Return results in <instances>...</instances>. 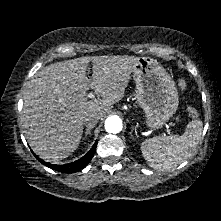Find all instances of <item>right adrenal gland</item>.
Instances as JSON below:
<instances>
[{
    "instance_id": "obj_1",
    "label": "right adrenal gland",
    "mask_w": 221,
    "mask_h": 221,
    "mask_svg": "<svg viewBox=\"0 0 221 221\" xmlns=\"http://www.w3.org/2000/svg\"><path fill=\"white\" fill-rule=\"evenodd\" d=\"M91 129L92 128H87L86 131H85V135L83 137V140L87 137V136H90L91 135Z\"/></svg>"
}]
</instances>
